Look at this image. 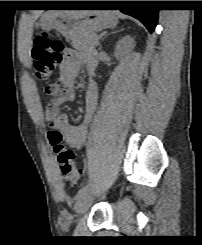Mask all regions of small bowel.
Instances as JSON below:
<instances>
[{"label": "small bowel", "mask_w": 202, "mask_h": 245, "mask_svg": "<svg viewBox=\"0 0 202 245\" xmlns=\"http://www.w3.org/2000/svg\"><path fill=\"white\" fill-rule=\"evenodd\" d=\"M85 67L89 74L96 69V60L93 56L85 57L81 53L68 49L60 65L58 83L53 88L52 101L48 104L42 116L44 122L55 123L62 131L67 143L74 149H79L85 143L88 126L92 121L97 108L99 90L94 81H91L85 90L84 115L80 124L70 122L67 114H60L59 108L63 103L75 99L74 87L81 68Z\"/></svg>", "instance_id": "obj_1"}]
</instances>
